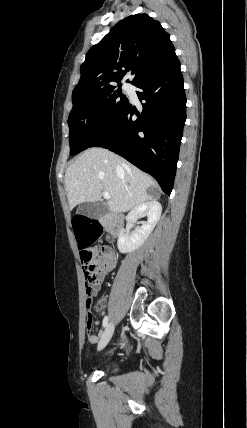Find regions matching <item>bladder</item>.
Masks as SVG:
<instances>
[{
  "instance_id": "bladder-1",
  "label": "bladder",
  "mask_w": 247,
  "mask_h": 428,
  "mask_svg": "<svg viewBox=\"0 0 247 428\" xmlns=\"http://www.w3.org/2000/svg\"><path fill=\"white\" fill-rule=\"evenodd\" d=\"M115 367H116V365L114 363H110V364L107 365V369L108 370H114Z\"/></svg>"
}]
</instances>
